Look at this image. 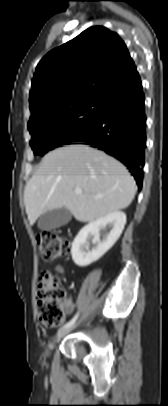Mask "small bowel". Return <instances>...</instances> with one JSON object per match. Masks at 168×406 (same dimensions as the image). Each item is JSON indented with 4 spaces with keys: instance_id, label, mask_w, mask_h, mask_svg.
I'll return each instance as SVG.
<instances>
[{
    "instance_id": "obj_1",
    "label": "small bowel",
    "mask_w": 168,
    "mask_h": 406,
    "mask_svg": "<svg viewBox=\"0 0 168 406\" xmlns=\"http://www.w3.org/2000/svg\"><path fill=\"white\" fill-rule=\"evenodd\" d=\"M57 271L60 272V273H63V272H64L63 268H61V267H57ZM63 308H64V312H65L66 314L72 312V310L74 309V303H73V301H72L71 298H66V299L64 300V302H63ZM63 320H64V318H63ZM63 320H62V321H63Z\"/></svg>"
}]
</instances>
